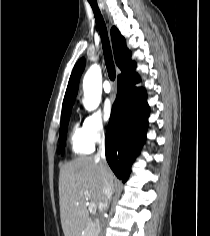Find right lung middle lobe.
<instances>
[{
    "instance_id": "dd1d6c3e",
    "label": "right lung middle lobe",
    "mask_w": 210,
    "mask_h": 236,
    "mask_svg": "<svg viewBox=\"0 0 210 236\" xmlns=\"http://www.w3.org/2000/svg\"><path fill=\"white\" fill-rule=\"evenodd\" d=\"M71 110H66L62 112L61 115V123H60V137H59V148L58 153H61L63 155L64 153V146L66 142V134H67V128L69 123V115Z\"/></svg>"
}]
</instances>
